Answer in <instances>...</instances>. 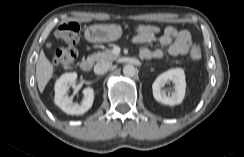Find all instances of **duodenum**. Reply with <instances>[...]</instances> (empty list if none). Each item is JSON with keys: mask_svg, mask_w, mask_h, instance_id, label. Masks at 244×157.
I'll return each instance as SVG.
<instances>
[{"mask_svg": "<svg viewBox=\"0 0 244 157\" xmlns=\"http://www.w3.org/2000/svg\"><path fill=\"white\" fill-rule=\"evenodd\" d=\"M93 66V59L92 58H85L80 62V69L83 72H89Z\"/></svg>", "mask_w": 244, "mask_h": 157, "instance_id": "410a0bca", "label": "duodenum"}]
</instances>
